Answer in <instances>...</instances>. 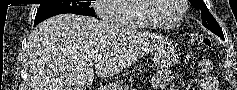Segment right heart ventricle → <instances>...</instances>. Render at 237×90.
<instances>
[{
  "label": "right heart ventricle",
  "mask_w": 237,
  "mask_h": 90,
  "mask_svg": "<svg viewBox=\"0 0 237 90\" xmlns=\"http://www.w3.org/2000/svg\"><path fill=\"white\" fill-rule=\"evenodd\" d=\"M137 2L140 0H123V2H118V4H111L108 13L113 16V28H148V26L140 20L137 13L140 11H135Z\"/></svg>",
  "instance_id": "obj_1"
}]
</instances>
